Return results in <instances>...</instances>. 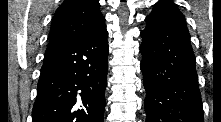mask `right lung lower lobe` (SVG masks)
<instances>
[{
  "label": "right lung lower lobe",
  "instance_id": "98d812e1",
  "mask_svg": "<svg viewBox=\"0 0 221 122\" xmlns=\"http://www.w3.org/2000/svg\"><path fill=\"white\" fill-rule=\"evenodd\" d=\"M107 36L104 24L46 53L32 122H104Z\"/></svg>",
  "mask_w": 221,
  "mask_h": 122
}]
</instances>
